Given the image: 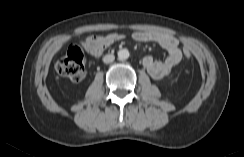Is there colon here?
<instances>
[{"label": "colon", "instance_id": "colon-1", "mask_svg": "<svg viewBox=\"0 0 244 157\" xmlns=\"http://www.w3.org/2000/svg\"><path fill=\"white\" fill-rule=\"evenodd\" d=\"M119 41L118 34H109L106 36H92V48H107L113 43ZM183 55L186 59L191 57L189 48L183 49ZM56 71L63 77L72 81H81L86 75L85 55L79 46L69 47L67 53L57 60L55 65Z\"/></svg>", "mask_w": 244, "mask_h": 157}]
</instances>
